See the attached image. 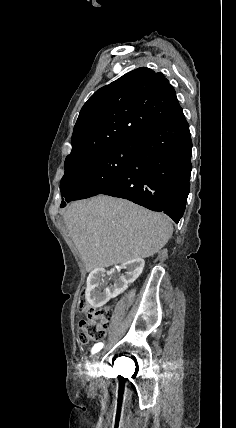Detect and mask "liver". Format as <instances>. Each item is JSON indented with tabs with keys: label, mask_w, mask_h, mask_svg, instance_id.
Wrapping results in <instances>:
<instances>
[{
	"label": "liver",
	"mask_w": 236,
	"mask_h": 428,
	"mask_svg": "<svg viewBox=\"0 0 236 428\" xmlns=\"http://www.w3.org/2000/svg\"><path fill=\"white\" fill-rule=\"evenodd\" d=\"M64 220L86 272L154 256L173 234L164 214L111 196L72 202Z\"/></svg>",
	"instance_id": "liver-1"
}]
</instances>
